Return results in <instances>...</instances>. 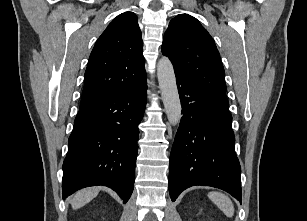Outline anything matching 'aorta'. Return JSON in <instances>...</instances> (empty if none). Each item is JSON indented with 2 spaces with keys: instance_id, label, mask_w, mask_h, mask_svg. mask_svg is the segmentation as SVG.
I'll return each instance as SVG.
<instances>
[{
  "instance_id": "762f6f07",
  "label": "aorta",
  "mask_w": 307,
  "mask_h": 221,
  "mask_svg": "<svg viewBox=\"0 0 307 221\" xmlns=\"http://www.w3.org/2000/svg\"><path fill=\"white\" fill-rule=\"evenodd\" d=\"M157 77L167 118L175 126L180 122L182 107L174 68L168 57H162L158 61Z\"/></svg>"
}]
</instances>
